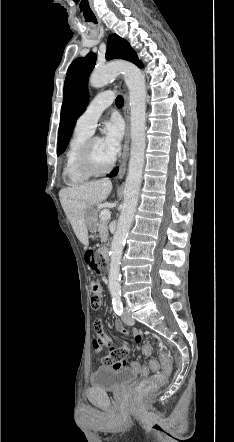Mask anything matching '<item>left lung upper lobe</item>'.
<instances>
[{"label":"left lung upper lobe","mask_w":234,"mask_h":442,"mask_svg":"<svg viewBox=\"0 0 234 442\" xmlns=\"http://www.w3.org/2000/svg\"><path fill=\"white\" fill-rule=\"evenodd\" d=\"M106 59H125L137 66L142 64L130 44L116 34L109 36ZM95 62L96 54L90 52L85 58L75 59L68 68L64 82L57 155L65 151L75 123L87 107L89 98L87 82Z\"/></svg>","instance_id":"left-lung-upper-lobe-1"}]
</instances>
